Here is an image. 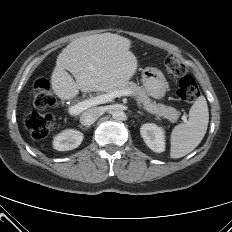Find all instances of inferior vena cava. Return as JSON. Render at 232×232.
<instances>
[{
    "mask_svg": "<svg viewBox=\"0 0 232 232\" xmlns=\"http://www.w3.org/2000/svg\"><path fill=\"white\" fill-rule=\"evenodd\" d=\"M103 114L100 108H91L84 113H82L80 117V122L84 126L92 125L101 115Z\"/></svg>",
    "mask_w": 232,
    "mask_h": 232,
    "instance_id": "inferior-vena-cava-1",
    "label": "inferior vena cava"
}]
</instances>
